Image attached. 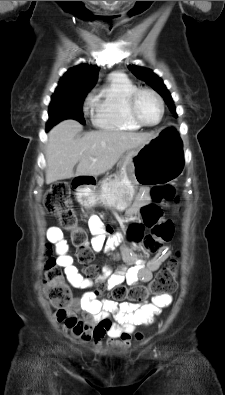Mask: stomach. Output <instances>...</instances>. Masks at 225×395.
Returning <instances> with one entry per match:
<instances>
[{"label": "stomach", "mask_w": 225, "mask_h": 395, "mask_svg": "<svg viewBox=\"0 0 225 395\" xmlns=\"http://www.w3.org/2000/svg\"><path fill=\"white\" fill-rule=\"evenodd\" d=\"M182 173L180 162L160 141L153 138L147 144L130 150L117 177L108 176L102 182L100 191L79 188L77 198L85 207L99 203L117 210H125L133 201L139 185L163 184L175 181Z\"/></svg>", "instance_id": "obj_1"}]
</instances>
